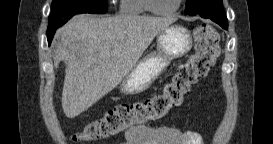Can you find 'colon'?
Listing matches in <instances>:
<instances>
[{"instance_id":"colon-1","label":"colon","mask_w":273,"mask_h":144,"mask_svg":"<svg viewBox=\"0 0 273 144\" xmlns=\"http://www.w3.org/2000/svg\"><path fill=\"white\" fill-rule=\"evenodd\" d=\"M194 41L195 52L179 65L158 93L145 100L115 106L102 117L89 122L77 139L102 140L135 127H145L180 106L192 86L208 74L220 53L219 35L210 25L198 26L194 30Z\"/></svg>"}]
</instances>
